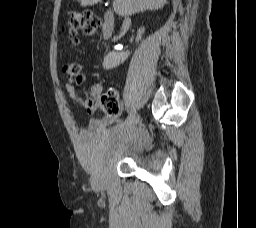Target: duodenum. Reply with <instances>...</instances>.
<instances>
[{
  "label": "duodenum",
  "mask_w": 256,
  "mask_h": 228,
  "mask_svg": "<svg viewBox=\"0 0 256 228\" xmlns=\"http://www.w3.org/2000/svg\"><path fill=\"white\" fill-rule=\"evenodd\" d=\"M114 29V18L111 13H107L105 15L103 27H102V36L104 39H108L113 32Z\"/></svg>",
  "instance_id": "1"
}]
</instances>
